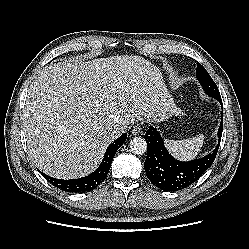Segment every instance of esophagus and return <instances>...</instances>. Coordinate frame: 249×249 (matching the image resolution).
Here are the masks:
<instances>
[{
    "label": "esophagus",
    "mask_w": 249,
    "mask_h": 249,
    "mask_svg": "<svg viewBox=\"0 0 249 249\" xmlns=\"http://www.w3.org/2000/svg\"><path fill=\"white\" fill-rule=\"evenodd\" d=\"M142 127H141V125L140 124H136V125H134L132 128H131V133L133 134V135H140V134H142Z\"/></svg>",
    "instance_id": "obj_1"
}]
</instances>
